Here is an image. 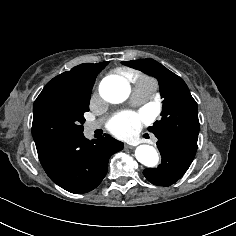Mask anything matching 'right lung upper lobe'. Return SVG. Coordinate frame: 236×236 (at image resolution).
<instances>
[{
    "instance_id": "obj_1",
    "label": "right lung upper lobe",
    "mask_w": 236,
    "mask_h": 236,
    "mask_svg": "<svg viewBox=\"0 0 236 236\" xmlns=\"http://www.w3.org/2000/svg\"><path fill=\"white\" fill-rule=\"evenodd\" d=\"M108 63L109 61L96 64L84 63L73 67L70 71H66L49 81L36 101L44 98L65 101L90 99L96 76Z\"/></svg>"
}]
</instances>
